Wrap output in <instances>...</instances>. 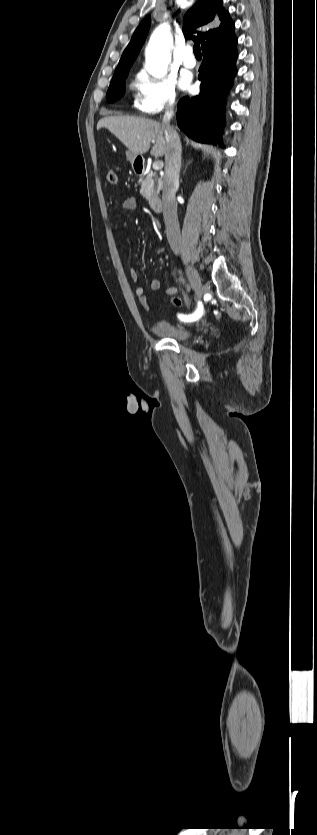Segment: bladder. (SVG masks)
<instances>
[{"label":"bladder","instance_id":"bladder-1","mask_svg":"<svg viewBox=\"0 0 317 835\" xmlns=\"http://www.w3.org/2000/svg\"><path fill=\"white\" fill-rule=\"evenodd\" d=\"M153 332L161 337L173 339L176 341H185L187 340L192 331L188 327L180 324L175 323L167 320H161L154 324Z\"/></svg>","mask_w":317,"mask_h":835}]
</instances>
